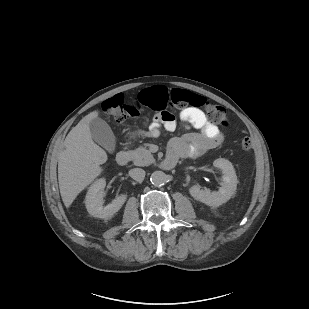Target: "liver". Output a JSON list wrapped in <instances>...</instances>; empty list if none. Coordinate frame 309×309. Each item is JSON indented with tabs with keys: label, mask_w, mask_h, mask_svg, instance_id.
Instances as JSON below:
<instances>
[{
	"label": "liver",
	"mask_w": 309,
	"mask_h": 309,
	"mask_svg": "<svg viewBox=\"0 0 309 309\" xmlns=\"http://www.w3.org/2000/svg\"><path fill=\"white\" fill-rule=\"evenodd\" d=\"M98 111L86 115L67 135L58 158L59 189L64 205L68 208L78 194L102 172L101 165L108 157L94 143L89 122L97 118Z\"/></svg>",
	"instance_id": "1"
}]
</instances>
